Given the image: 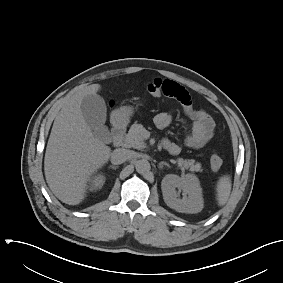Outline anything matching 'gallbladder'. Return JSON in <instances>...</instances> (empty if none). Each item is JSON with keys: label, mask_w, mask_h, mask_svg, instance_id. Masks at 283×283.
<instances>
[{"label": "gallbladder", "mask_w": 283, "mask_h": 283, "mask_svg": "<svg viewBox=\"0 0 283 283\" xmlns=\"http://www.w3.org/2000/svg\"><path fill=\"white\" fill-rule=\"evenodd\" d=\"M81 111L94 136L103 142H110V133L105 125L107 108L104 99L97 94L85 96L81 102Z\"/></svg>", "instance_id": "gallbladder-1"}]
</instances>
